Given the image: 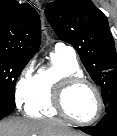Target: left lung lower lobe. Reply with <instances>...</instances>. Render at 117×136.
<instances>
[{"mask_svg": "<svg viewBox=\"0 0 117 136\" xmlns=\"http://www.w3.org/2000/svg\"><path fill=\"white\" fill-rule=\"evenodd\" d=\"M78 129L92 136H117V104L106 112L97 125Z\"/></svg>", "mask_w": 117, "mask_h": 136, "instance_id": "left-lung-lower-lobe-1", "label": "left lung lower lobe"}]
</instances>
